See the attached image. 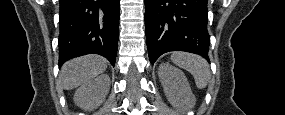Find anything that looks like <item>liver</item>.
Segmentation results:
<instances>
[{
	"label": "liver",
	"instance_id": "liver-1",
	"mask_svg": "<svg viewBox=\"0 0 285 115\" xmlns=\"http://www.w3.org/2000/svg\"><path fill=\"white\" fill-rule=\"evenodd\" d=\"M107 68V60L98 55H87L66 62L60 72V80L65 90H72L93 80Z\"/></svg>",
	"mask_w": 285,
	"mask_h": 115
}]
</instances>
